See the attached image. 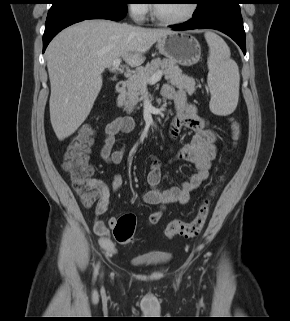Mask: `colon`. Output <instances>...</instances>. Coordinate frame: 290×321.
Here are the masks:
<instances>
[{
	"instance_id": "5ec220e1",
	"label": "colon",
	"mask_w": 290,
	"mask_h": 321,
	"mask_svg": "<svg viewBox=\"0 0 290 321\" xmlns=\"http://www.w3.org/2000/svg\"><path fill=\"white\" fill-rule=\"evenodd\" d=\"M93 128L89 124L82 125L72 138L63 160V168L68 173L74 190L81 196L85 206H92L98 201V193L91 183L93 167L89 163L90 147L93 143ZM231 134L233 146H237L241 138V125L232 118ZM220 178L219 181H221ZM217 186L212 187L199 204L195 217L185 222L173 220L165 228V236L172 239L176 236L194 237L203 230L209 214L210 204L215 195ZM136 228V216L124 214L113 226L114 237L119 243L132 241Z\"/></svg>"
}]
</instances>
